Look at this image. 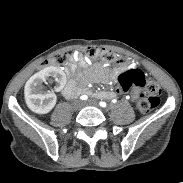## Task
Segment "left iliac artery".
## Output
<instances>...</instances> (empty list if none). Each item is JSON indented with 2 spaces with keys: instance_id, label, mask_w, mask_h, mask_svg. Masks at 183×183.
I'll return each mask as SVG.
<instances>
[{
  "instance_id": "44dca946",
  "label": "left iliac artery",
  "mask_w": 183,
  "mask_h": 183,
  "mask_svg": "<svg viewBox=\"0 0 183 183\" xmlns=\"http://www.w3.org/2000/svg\"><path fill=\"white\" fill-rule=\"evenodd\" d=\"M99 104H100L101 107H104V108L107 106V104L103 101H101Z\"/></svg>"
}]
</instances>
